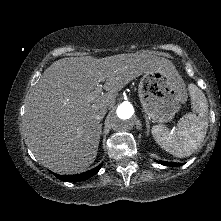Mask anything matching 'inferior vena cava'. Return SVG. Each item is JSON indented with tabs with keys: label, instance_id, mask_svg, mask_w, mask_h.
I'll list each match as a JSON object with an SVG mask.
<instances>
[{
	"label": "inferior vena cava",
	"instance_id": "obj_1",
	"mask_svg": "<svg viewBox=\"0 0 221 221\" xmlns=\"http://www.w3.org/2000/svg\"><path fill=\"white\" fill-rule=\"evenodd\" d=\"M106 112H107V109H101L95 117L96 120L100 122L104 118Z\"/></svg>",
	"mask_w": 221,
	"mask_h": 221
}]
</instances>
